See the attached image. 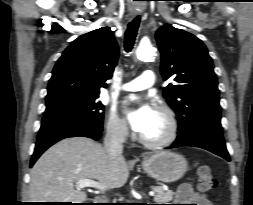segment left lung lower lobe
Masks as SVG:
<instances>
[{
    "mask_svg": "<svg viewBox=\"0 0 253 205\" xmlns=\"http://www.w3.org/2000/svg\"><path fill=\"white\" fill-rule=\"evenodd\" d=\"M182 146H194L206 149L230 161L229 153L226 149L222 127L215 124H203L187 138H178L167 149Z\"/></svg>",
    "mask_w": 253,
    "mask_h": 205,
    "instance_id": "left-lung-lower-lobe-1",
    "label": "left lung lower lobe"
}]
</instances>
